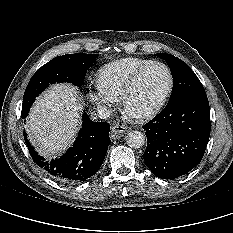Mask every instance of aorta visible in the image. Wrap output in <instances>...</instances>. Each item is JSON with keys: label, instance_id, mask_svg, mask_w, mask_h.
Segmentation results:
<instances>
[{"label": "aorta", "instance_id": "1", "mask_svg": "<svg viewBox=\"0 0 233 233\" xmlns=\"http://www.w3.org/2000/svg\"><path fill=\"white\" fill-rule=\"evenodd\" d=\"M146 137L140 131H130L126 136V143L131 148H140L145 144Z\"/></svg>", "mask_w": 233, "mask_h": 233}]
</instances>
